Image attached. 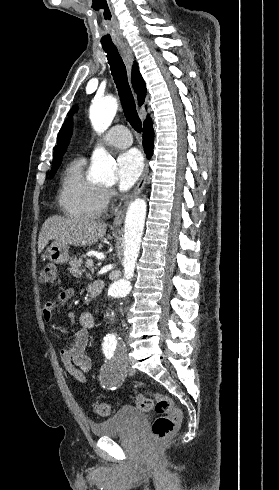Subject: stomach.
Returning a JSON list of instances; mask_svg holds the SVG:
<instances>
[{"label": "stomach", "instance_id": "0dacf381", "mask_svg": "<svg viewBox=\"0 0 279 490\" xmlns=\"http://www.w3.org/2000/svg\"><path fill=\"white\" fill-rule=\"evenodd\" d=\"M46 254L51 264H67L71 258L68 244H59V242H52Z\"/></svg>", "mask_w": 279, "mask_h": 490}]
</instances>
